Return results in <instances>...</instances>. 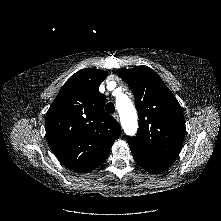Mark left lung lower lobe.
<instances>
[{"mask_svg": "<svg viewBox=\"0 0 221 221\" xmlns=\"http://www.w3.org/2000/svg\"><path fill=\"white\" fill-rule=\"evenodd\" d=\"M133 158L139 166L151 173H160L173 162L151 157L140 150L130 147Z\"/></svg>", "mask_w": 221, "mask_h": 221, "instance_id": "obj_1", "label": "left lung lower lobe"}]
</instances>
